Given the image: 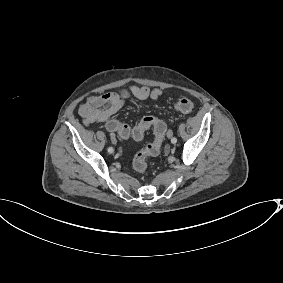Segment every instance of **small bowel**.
I'll return each mask as SVG.
<instances>
[{"label":"small bowel","mask_w":283,"mask_h":283,"mask_svg":"<svg viewBox=\"0 0 283 283\" xmlns=\"http://www.w3.org/2000/svg\"><path fill=\"white\" fill-rule=\"evenodd\" d=\"M162 92L147 86L129 85L128 87L100 95H93L80 105L79 114L85 125L104 123L113 117L130 98L157 100Z\"/></svg>","instance_id":"obj_1"}]
</instances>
